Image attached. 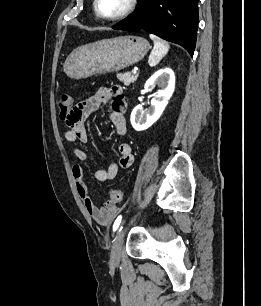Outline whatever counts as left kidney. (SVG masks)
Masks as SVG:
<instances>
[{
    "mask_svg": "<svg viewBox=\"0 0 261 306\" xmlns=\"http://www.w3.org/2000/svg\"><path fill=\"white\" fill-rule=\"evenodd\" d=\"M155 85L160 89L151 100V107L144 111L137 105L131 113V124L136 131H143L152 126L162 115L175 89V75L172 69L164 68L157 71L145 83V90L151 91Z\"/></svg>",
    "mask_w": 261,
    "mask_h": 306,
    "instance_id": "left-kidney-1",
    "label": "left kidney"
}]
</instances>
